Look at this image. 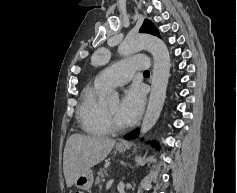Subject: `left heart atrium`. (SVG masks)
<instances>
[{
	"mask_svg": "<svg viewBox=\"0 0 237 193\" xmlns=\"http://www.w3.org/2000/svg\"><path fill=\"white\" fill-rule=\"evenodd\" d=\"M145 93L140 84L130 86L120 104V117L125 124L134 123L142 113Z\"/></svg>",
	"mask_w": 237,
	"mask_h": 193,
	"instance_id": "39dd6f15",
	"label": "left heart atrium"
}]
</instances>
